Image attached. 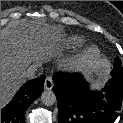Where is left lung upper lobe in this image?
Instances as JSON below:
<instances>
[{
	"instance_id": "left-lung-upper-lobe-1",
	"label": "left lung upper lobe",
	"mask_w": 123,
	"mask_h": 123,
	"mask_svg": "<svg viewBox=\"0 0 123 123\" xmlns=\"http://www.w3.org/2000/svg\"><path fill=\"white\" fill-rule=\"evenodd\" d=\"M110 75L112 77H116L120 80H123V70H122V63L121 60L116 58L113 64V70L111 71Z\"/></svg>"
}]
</instances>
